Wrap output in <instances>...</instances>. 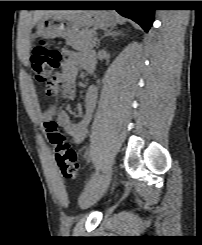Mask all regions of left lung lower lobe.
Segmentation results:
<instances>
[{
    "instance_id": "obj_1",
    "label": "left lung lower lobe",
    "mask_w": 202,
    "mask_h": 245,
    "mask_svg": "<svg viewBox=\"0 0 202 245\" xmlns=\"http://www.w3.org/2000/svg\"><path fill=\"white\" fill-rule=\"evenodd\" d=\"M134 2L136 1H117L115 2V5L118 7L116 11L124 17L134 20L148 32L153 23L154 10L142 7L129 8L128 6L133 5ZM101 3V1H85L84 5L95 6Z\"/></svg>"
}]
</instances>
